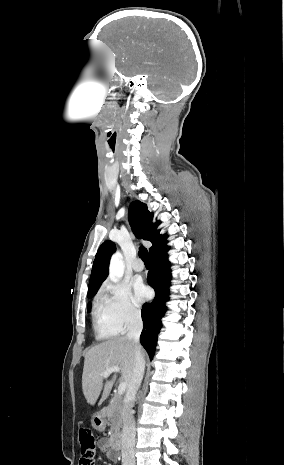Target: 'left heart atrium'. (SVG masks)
Listing matches in <instances>:
<instances>
[{"label": "left heart atrium", "mask_w": 284, "mask_h": 465, "mask_svg": "<svg viewBox=\"0 0 284 465\" xmlns=\"http://www.w3.org/2000/svg\"><path fill=\"white\" fill-rule=\"evenodd\" d=\"M150 296V291L141 283H135L133 286V300L137 304H141L144 301L148 300Z\"/></svg>", "instance_id": "1"}]
</instances>
